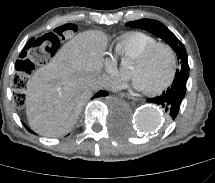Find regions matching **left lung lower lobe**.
I'll return each instance as SVG.
<instances>
[{"label": "left lung lower lobe", "mask_w": 215, "mask_h": 183, "mask_svg": "<svg viewBox=\"0 0 215 183\" xmlns=\"http://www.w3.org/2000/svg\"><path fill=\"white\" fill-rule=\"evenodd\" d=\"M188 76H176L172 85L161 95L150 98L147 101L158 104L165 109L168 121L175 119L177 116L181 102L186 93V83Z\"/></svg>", "instance_id": "1"}]
</instances>
